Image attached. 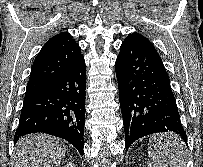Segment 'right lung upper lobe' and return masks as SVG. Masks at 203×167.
<instances>
[{"mask_svg":"<svg viewBox=\"0 0 203 167\" xmlns=\"http://www.w3.org/2000/svg\"><path fill=\"white\" fill-rule=\"evenodd\" d=\"M82 57L78 44L67 32L50 38L37 55L26 93L41 90L72 68Z\"/></svg>","mask_w":203,"mask_h":167,"instance_id":"1","label":"right lung upper lobe"}]
</instances>
